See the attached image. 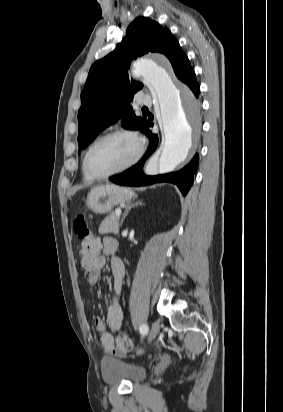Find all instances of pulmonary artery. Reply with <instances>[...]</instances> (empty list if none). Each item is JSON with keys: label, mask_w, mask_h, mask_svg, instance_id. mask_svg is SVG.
<instances>
[{"label": "pulmonary artery", "mask_w": 283, "mask_h": 412, "mask_svg": "<svg viewBox=\"0 0 283 412\" xmlns=\"http://www.w3.org/2000/svg\"><path fill=\"white\" fill-rule=\"evenodd\" d=\"M138 103L140 105H143V106H150L151 105V99H150V97H148L144 94H139L138 95Z\"/></svg>", "instance_id": "pulmonary-artery-1"}]
</instances>
